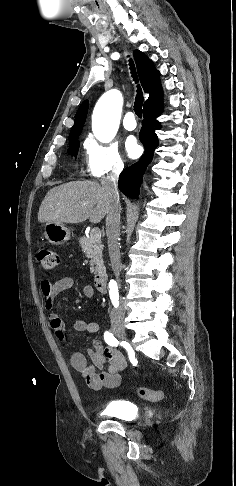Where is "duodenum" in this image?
<instances>
[{
	"mask_svg": "<svg viewBox=\"0 0 236 486\" xmlns=\"http://www.w3.org/2000/svg\"><path fill=\"white\" fill-rule=\"evenodd\" d=\"M94 286L99 292H106L107 274L105 272H99L95 275Z\"/></svg>",
	"mask_w": 236,
	"mask_h": 486,
	"instance_id": "obj_1",
	"label": "duodenum"
}]
</instances>
